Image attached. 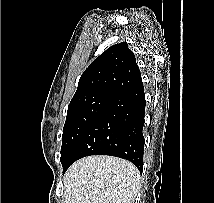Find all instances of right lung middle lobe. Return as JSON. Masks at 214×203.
I'll use <instances>...</instances> for the list:
<instances>
[{"label": "right lung middle lobe", "instance_id": "right-lung-middle-lobe-1", "mask_svg": "<svg viewBox=\"0 0 214 203\" xmlns=\"http://www.w3.org/2000/svg\"><path fill=\"white\" fill-rule=\"evenodd\" d=\"M111 99L109 96L95 94L71 100L63 128L62 163L67 160L76 143Z\"/></svg>", "mask_w": 214, "mask_h": 203}]
</instances>
